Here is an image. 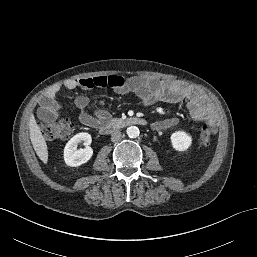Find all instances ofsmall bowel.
<instances>
[{"mask_svg":"<svg viewBox=\"0 0 257 257\" xmlns=\"http://www.w3.org/2000/svg\"><path fill=\"white\" fill-rule=\"evenodd\" d=\"M81 88L91 90L93 88H110L119 95L134 93L143 105L155 102L180 103L185 101L190 116L196 121H211L210 106L201 92L179 81L157 80L150 77L134 76L127 79L119 75L96 76L81 79H66L55 84L41 99L40 115L53 120L57 117L59 104L57 95L63 89ZM79 109V121L88 127L98 128L110 119L109 112L105 109L103 100L96 101V109L88 112L90 100L85 95H79L75 99ZM178 123L175 117L157 121L153 124L156 131H164Z\"/></svg>","mask_w":257,"mask_h":257,"instance_id":"obj_1","label":"small bowel"}]
</instances>
